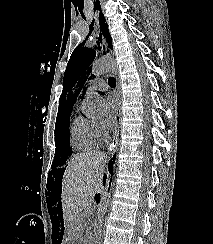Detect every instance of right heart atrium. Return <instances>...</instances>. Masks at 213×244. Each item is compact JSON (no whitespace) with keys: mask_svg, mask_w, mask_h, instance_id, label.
<instances>
[{"mask_svg":"<svg viewBox=\"0 0 213 244\" xmlns=\"http://www.w3.org/2000/svg\"><path fill=\"white\" fill-rule=\"evenodd\" d=\"M94 128H95V131H96L98 138L102 137L104 134L103 125L100 122L95 121L94 122Z\"/></svg>","mask_w":213,"mask_h":244,"instance_id":"d8ad5b80","label":"right heart atrium"}]
</instances>
